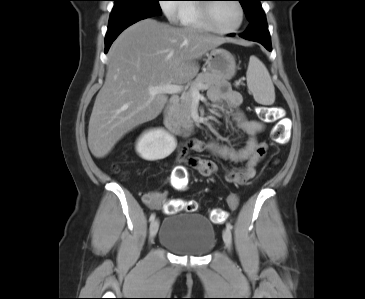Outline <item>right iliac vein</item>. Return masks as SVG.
I'll return each instance as SVG.
<instances>
[{
    "instance_id": "right-iliac-vein-1",
    "label": "right iliac vein",
    "mask_w": 365,
    "mask_h": 299,
    "mask_svg": "<svg viewBox=\"0 0 365 299\" xmlns=\"http://www.w3.org/2000/svg\"><path fill=\"white\" fill-rule=\"evenodd\" d=\"M158 228H159V221L158 220H154L152 221L151 225H150V230H149V235H150V239L153 240L158 232Z\"/></svg>"
}]
</instances>
